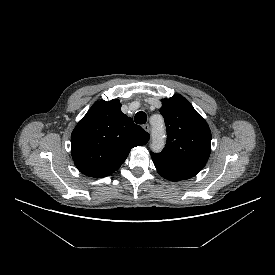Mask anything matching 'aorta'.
Wrapping results in <instances>:
<instances>
[{"instance_id": "aorta-1", "label": "aorta", "mask_w": 275, "mask_h": 275, "mask_svg": "<svg viewBox=\"0 0 275 275\" xmlns=\"http://www.w3.org/2000/svg\"><path fill=\"white\" fill-rule=\"evenodd\" d=\"M164 145V140L158 132V128L153 130V147L159 150Z\"/></svg>"}]
</instances>
